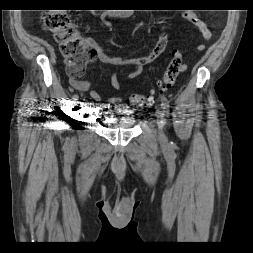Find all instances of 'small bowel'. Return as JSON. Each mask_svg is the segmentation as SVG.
Segmentation results:
<instances>
[{
    "label": "small bowel",
    "mask_w": 253,
    "mask_h": 253,
    "mask_svg": "<svg viewBox=\"0 0 253 253\" xmlns=\"http://www.w3.org/2000/svg\"><path fill=\"white\" fill-rule=\"evenodd\" d=\"M183 17L188 19L190 22H192L203 34L204 38L209 40L211 38V33L208 31L206 24L203 20H201L198 16L192 13H184ZM168 33L166 31L165 26H161L160 32L157 37V41L153 48L150 50L149 53H147L144 56L135 57V58H121V57H115V56H109L103 48L100 46L90 43L96 51V58L105 64H112L124 67V70L120 73H126L127 80H132L136 77H138L143 70V67L147 64H150L154 62L159 56L166 50L168 45ZM198 50L202 51L205 49L204 45H199L197 47ZM120 73H113L109 79V86L114 88L117 91L121 90V85L118 80V76ZM70 85L80 91V92H86L89 91L90 96L95 101H101L100 94L92 88V84L88 80H81L78 78H70ZM109 104H121V99L116 97H110L108 99Z\"/></svg>",
    "instance_id": "obj_1"
}]
</instances>
